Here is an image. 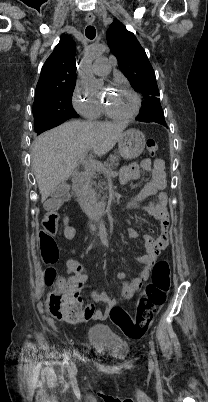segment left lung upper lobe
I'll list each match as a JSON object with an SVG mask.
<instances>
[{"label": "left lung upper lobe", "instance_id": "5c2ea615", "mask_svg": "<svg viewBox=\"0 0 208 402\" xmlns=\"http://www.w3.org/2000/svg\"><path fill=\"white\" fill-rule=\"evenodd\" d=\"M107 41L111 52L118 60L119 67L136 91L142 93L145 102L137 120L156 122L164 126L159 90L155 73L135 35L128 31L119 21L115 20L107 31Z\"/></svg>", "mask_w": 208, "mask_h": 402}]
</instances>
